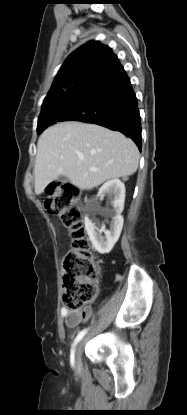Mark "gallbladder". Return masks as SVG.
<instances>
[{
    "label": "gallbladder",
    "mask_w": 187,
    "mask_h": 415,
    "mask_svg": "<svg viewBox=\"0 0 187 415\" xmlns=\"http://www.w3.org/2000/svg\"><path fill=\"white\" fill-rule=\"evenodd\" d=\"M59 182L66 183L68 180L65 176L60 175L57 179Z\"/></svg>",
    "instance_id": "bac80fb5"
}]
</instances>
